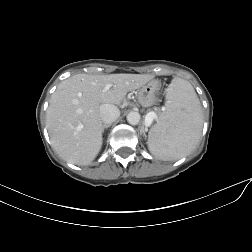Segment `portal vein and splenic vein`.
Masks as SVG:
<instances>
[{
  "label": "portal vein and splenic vein",
  "instance_id": "1",
  "mask_svg": "<svg viewBox=\"0 0 252 252\" xmlns=\"http://www.w3.org/2000/svg\"><path fill=\"white\" fill-rule=\"evenodd\" d=\"M110 87H111L110 85H107L104 90L106 91ZM154 119H157V114L154 111L149 112L145 117L146 126H149L153 122Z\"/></svg>",
  "mask_w": 252,
  "mask_h": 252
}]
</instances>
